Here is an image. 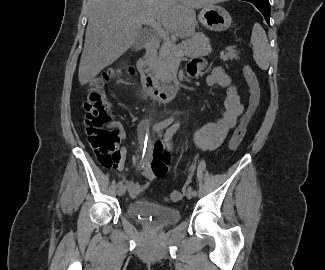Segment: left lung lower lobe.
I'll return each mask as SVG.
<instances>
[{"instance_id": "1", "label": "left lung lower lobe", "mask_w": 325, "mask_h": 270, "mask_svg": "<svg viewBox=\"0 0 325 270\" xmlns=\"http://www.w3.org/2000/svg\"><path fill=\"white\" fill-rule=\"evenodd\" d=\"M253 3L264 15L266 22L270 25V3L268 0H244Z\"/></svg>"}]
</instances>
